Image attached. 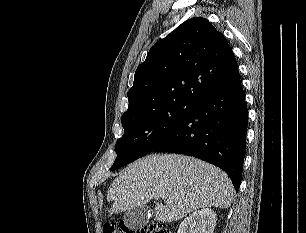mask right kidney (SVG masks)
Listing matches in <instances>:
<instances>
[{"label": "right kidney", "mask_w": 306, "mask_h": 233, "mask_svg": "<svg viewBox=\"0 0 306 233\" xmlns=\"http://www.w3.org/2000/svg\"><path fill=\"white\" fill-rule=\"evenodd\" d=\"M216 219L212 209L194 211L181 222L177 233H213Z\"/></svg>", "instance_id": "right-kidney-1"}]
</instances>
